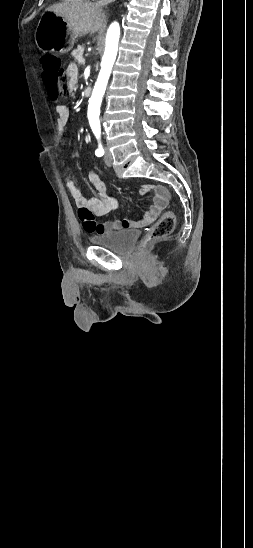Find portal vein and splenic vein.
I'll return each instance as SVG.
<instances>
[{"label": "portal vein and splenic vein", "instance_id": "obj_1", "mask_svg": "<svg viewBox=\"0 0 253 548\" xmlns=\"http://www.w3.org/2000/svg\"><path fill=\"white\" fill-rule=\"evenodd\" d=\"M79 62L82 63V64H84V63H85V59L82 58V59H80Z\"/></svg>", "mask_w": 253, "mask_h": 548}]
</instances>
